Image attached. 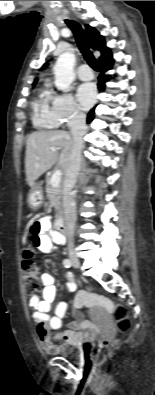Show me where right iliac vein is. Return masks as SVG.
<instances>
[{
	"label": "right iliac vein",
	"mask_w": 155,
	"mask_h": 395,
	"mask_svg": "<svg viewBox=\"0 0 155 395\" xmlns=\"http://www.w3.org/2000/svg\"><path fill=\"white\" fill-rule=\"evenodd\" d=\"M71 262L73 264V266L75 267H79L80 266V261L76 256H72L71 257Z\"/></svg>",
	"instance_id": "1"
}]
</instances>
